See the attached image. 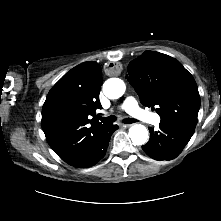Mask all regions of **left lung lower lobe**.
<instances>
[{"label": "left lung lower lobe", "mask_w": 221, "mask_h": 221, "mask_svg": "<svg viewBox=\"0 0 221 221\" xmlns=\"http://www.w3.org/2000/svg\"><path fill=\"white\" fill-rule=\"evenodd\" d=\"M195 123L160 122V130L149 128L150 139L142 146L144 152L152 159L172 160L176 158L194 133Z\"/></svg>", "instance_id": "1"}]
</instances>
